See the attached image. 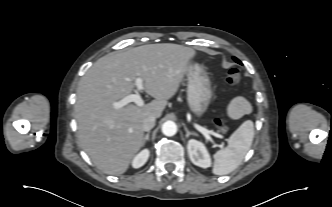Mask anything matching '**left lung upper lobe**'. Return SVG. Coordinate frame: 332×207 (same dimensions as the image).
Returning a JSON list of instances; mask_svg holds the SVG:
<instances>
[{
    "mask_svg": "<svg viewBox=\"0 0 332 207\" xmlns=\"http://www.w3.org/2000/svg\"><path fill=\"white\" fill-rule=\"evenodd\" d=\"M233 59H234L237 63L241 64V62H240L237 58L233 57Z\"/></svg>",
    "mask_w": 332,
    "mask_h": 207,
    "instance_id": "obj_1",
    "label": "left lung upper lobe"
}]
</instances>
